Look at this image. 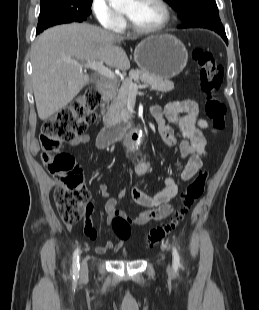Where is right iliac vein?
<instances>
[{
  "instance_id": "1",
  "label": "right iliac vein",
  "mask_w": 259,
  "mask_h": 310,
  "mask_svg": "<svg viewBox=\"0 0 259 310\" xmlns=\"http://www.w3.org/2000/svg\"><path fill=\"white\" fill-rule=\"evenodd\" d=\"M80 276L82 279H85L88 276V265L86 259H83L81 262Z\"/></svg>"
}]
</instances>
